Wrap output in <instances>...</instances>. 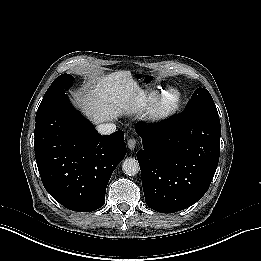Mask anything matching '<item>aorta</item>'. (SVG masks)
Here are the masks:
<instances>
[{
    "mask_svg": "<svg viewBox=\"0 0 261 261\" xmlns=\"http://www.w3.org/2000/svg\"><path fill=\"white\" fill-rule=\"evenodd\" d=\"M122 171L128 176H135L140 171L138 160L132 157H127L122 163Z\"/></svg>",
    "mask_w": 261,
    "mask_h": 261,
    "instance_id": "aorta-1",
    "label": "aorta"
}]
</instances>
